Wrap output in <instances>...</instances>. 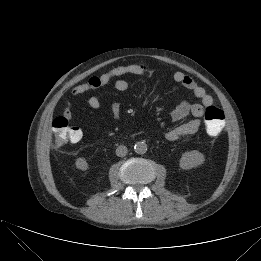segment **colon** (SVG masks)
<instances>
[{
	"mask_svg": "<svg viewBox=\"0 0 261 261\" xmlns=\"http://www.w3.org/2000/svg\"><path fill=\"white\" fill-rule=\"evenodd\" d=\"M224 119V112L221 109L213 105L206 107L204 111V123L210 135H217L221 132ZM52 129L54 132V142L57 147L77 143L82 137L80 129L70 126L69 121L63 116L53 120Z\"/></svg>",
	"mask_w": 261,
	"mask_h": 261,
	"instance_id": "obj_1",
	"label": "colon"
}]
</instances>
